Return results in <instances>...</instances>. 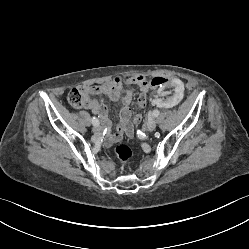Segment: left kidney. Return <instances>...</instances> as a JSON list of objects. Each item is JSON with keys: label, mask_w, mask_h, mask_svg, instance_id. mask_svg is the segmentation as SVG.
<instances>
[{"label": "left kidney", "mask_w": 249, "mask_h": 249, "mask_svg": "<svg viewBox=\"0 0 249 249\" xmlns=\"http://www.w3.org/2000/svg\"><path fill=\"white\" fill-rule=\"evenodd\" d=\"M187 90L186 81L183 77L173 75L167 79L162 88L155 92L153 97V106L156 110L161 111L178 104Z\"/></svg>", "instance_id": "left-kidney-1"}]
</instances>
